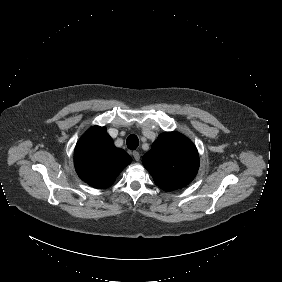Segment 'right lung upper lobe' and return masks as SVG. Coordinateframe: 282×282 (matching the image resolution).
I'll list each match as a JSON object with an SVG mask.
<instances>
[{"label":"right lung upper lobe","mask_w":282,"mask_h":282,"mask_svg":"<svg viewBox=\"0 0 282 282\" xmlns=\"http://www.w3.org/2000/svg\"><path fill=\"white\" fill-rule=\"evenodd\" d=\"M132 158L114 146L105 127L89 128L77 142L74 151L75 169L79 177L98 189L110 187Z\"/></svg>","instance_id":"right-lung-upper-lobe-1"}]
</instances>
